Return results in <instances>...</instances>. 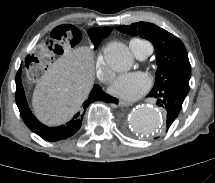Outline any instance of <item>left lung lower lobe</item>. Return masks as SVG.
<instances>
[{
	"label": "left lung lower lobe",
	"instance_id": "0a47b994",
	"mask_svg": "<svg viewBox=\"0 0 215 183\" xmlns=\"http://www.w3.org/2000/svg\"><path fill=\"white\" fill-rule=\"evenodd\" d=\"M148 96L156 98L157 105L165 109L168 129L178 116L187 94L177 87L168 86L151 91Z\"/></svg>",
	"mask_w": 215,
	"mask_h": 183
}]
</instances>
